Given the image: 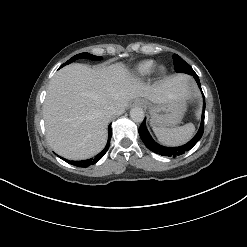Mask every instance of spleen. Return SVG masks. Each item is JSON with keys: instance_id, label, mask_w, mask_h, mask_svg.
<instances>
[{"instance_id": "1", "label": "spleen", "mask_w": 247, "mask_h": 247, "mask_svg": "<svg viewBox=\"0 0 247 247\" xmlns=\"http://www.w3.org/2000/svg\"><path fill=\"white\" fill-rule=\"evenodd\" d=\"M153 131L159 142L163 145L179 146L192 138L195 132V126L193 123H188L177 128L153 127Z\"/></svg>"}]
</instances>
